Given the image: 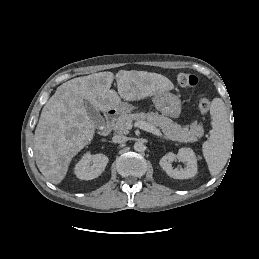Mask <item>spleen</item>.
<instances>
[{
    "mask_svg": "<svg viewBox=\"0 0 259 259\" xmlns=\"http://www.w3.org/2000/svg\"><path fill=\"white\" fill-rule=\"evenodd\" d=\"M210 114L212 130L210 137L202 145V151L210 174L215 176L222 171L230 156L233 130L222 99H213Z\"/></svg>",
    "mask_w": 259,
    "mask_h": 259,
    "instance_id": "1",
    "label": "spleen"
}]
</instances>
